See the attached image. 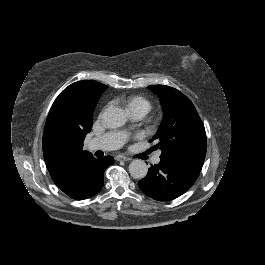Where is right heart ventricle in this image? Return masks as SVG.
Returning <instances> with one entry per match:
<instances>
[{"label":"right heart ventricle","mask_w":265,"mask_h":265,"mask_svg":"<svg viewBox=\"0 0 265 265\" xmlns=\"http://www.w3.org/2000/svg\"><path fill=\"white\" fill-rule=\"evenodd\" d=\"M115 102L124 105L127 111L131 114L141 112L145 115L151 109V103L148 99L129 91L120 92L115 97Z\"/></svg>","instance_id":"obj_1"}]
</instances>
